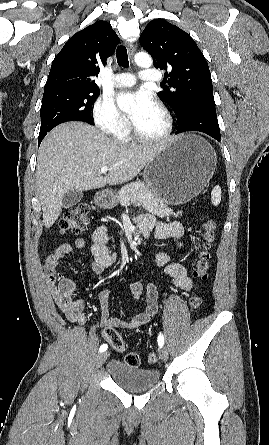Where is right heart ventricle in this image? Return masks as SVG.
<instances>
[{
  "mask_svg": "<svg viewBox=\"0 0 269 445\" xmlns=\"http://www.w3.org/2000/svg\"><path fill=\"white\" fill-rule=\"evenodd\" d=\"M118 138L122 141H127L129 139L128 133L118 136Z\"/></svg>",
  "mask_w": 269,
  "mask_h": 445,
  "instance_id": "right-heart-ventricle-1",
  "label": "right heart ventricle"
}]
</instances>
